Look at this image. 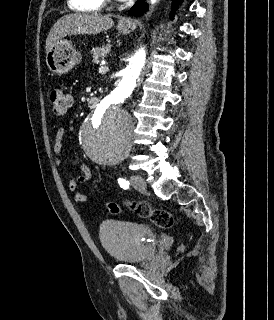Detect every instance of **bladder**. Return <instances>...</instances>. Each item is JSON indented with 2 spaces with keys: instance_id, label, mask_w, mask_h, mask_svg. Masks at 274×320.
Wrapping results in <instances>:
<instances>
[{
  "instance_id": "obj_1",
  "label": "bladder",
  "mask_w": 274,
  "mask_h": 320,
  "mask_svg": "<svg viewBox=\"0 0 274 320\" xmlns=\"http://www.w3.org/2000/svg\"><path fill=\"white\" fill-rule=\"evenodd\" d=\"M98 237L108 256L122 264L142 263L155 251V233L139 223L109 220L100 226Z\"/></svg>"
}]
</instances>
